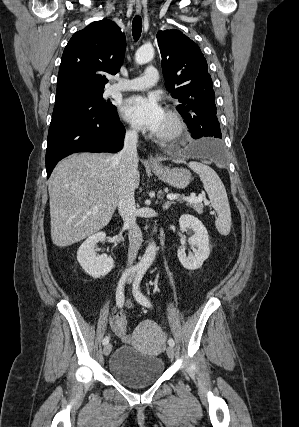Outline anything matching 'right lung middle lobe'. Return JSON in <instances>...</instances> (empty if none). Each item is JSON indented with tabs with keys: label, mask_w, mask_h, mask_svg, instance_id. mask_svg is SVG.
Here are the masks:
<instances>
[{
	"label": "right lung middle lobe",
	"mask_w": 299,
	"mask_h": 427,
	"mask_svg": "<svg viewBox=\"0 0 299 427\" xmlns=\"http://www.w3.org/2000/svg\"><path fill=\"white\" fill-rule=\"evenodd\" d=\"M103 93H89L55 102L52 119L76 112L94 113L104 116L116 115V107L111 104L110 100L103 98Z\"/></svg>",
	"instance_id": "right-lung-middle-lobe-1"
}]
</instances>
